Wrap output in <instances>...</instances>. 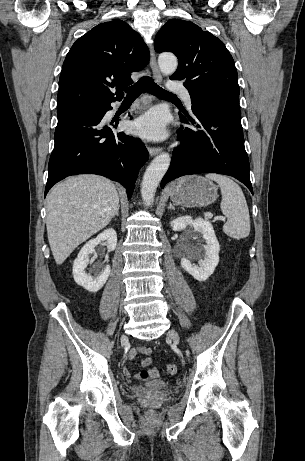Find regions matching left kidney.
Listing matches in <instances>:
<instances>
[{
	"instance_id": "obj_1",
	"label": "left kidney",
	"mask_w": 305,
	"mask_h": 461,
	"mask_svg": "<svg viewBox=\"0 0 305 461\" xmlns=\"http://www.w3.org/2000/svg\"><path fill=\"white\" fill-rule=\"evenodd\" d=\"M192 226L195 233H200L206 241L203 249H198L202 257L199 265L193 264L189 258L195 253L194 247L186 246L187 255L181 258V266L196 280L206 281L213 274L219 262L220 245L215 236L212 224L202 218L192 219L191 216L179 217L171 222L173 231H182Z\"/></svg>"
}]
</instances>
